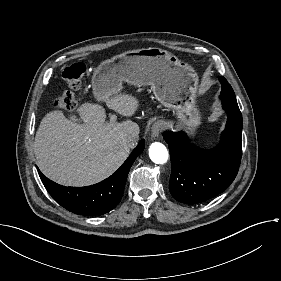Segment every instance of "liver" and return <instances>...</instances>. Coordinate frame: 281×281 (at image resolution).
<instances>
[{
  "label": "liver",
  "mask_w": 281,
  "mask_h": 281,
  "mask_svg": "<svg viewBox=\"0 0 281 281\" xmlns=\"http://www.w3.org/2000/svg\"><path fill=\"white\" fill-rule=\"evenodd\" d=\"M104 102L123 116L132 115L136 108L134 99L127 95ZM79 111L85 124L67 119L61 111L47 113L34 140L41 172L65 186H90L112 175L133 147L122 142V135L139 134L138 124L131 119L102 125L107 114L99 104L85 105Z\"/></svg>",
  "instance_id": "1"
}]
</instances>
